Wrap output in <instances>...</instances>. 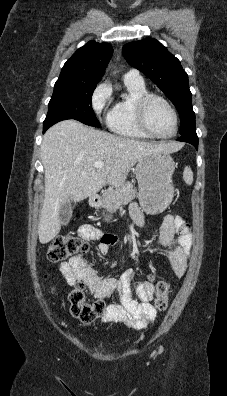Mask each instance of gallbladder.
<instances>
[{"label":"gallbladder","instance_id":"obj_1","mask_svg":"<svg viewBox=\"0 0 227 396\" xmlns=\"http://www.w3.org/2000/svg\"><path fill=\"white\" fill-rule=\"evenodd\" d=\"M71 216H72V207H71L70 200H68L61 205V208L59 211V218H60L61 224H63V225L68 224L71 219Z\"/></svg>","mask_w":227,"mask_h":396}]
</instances>
